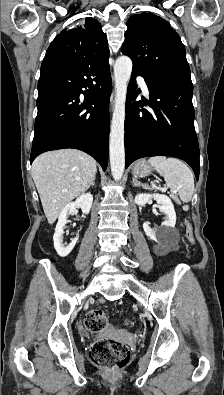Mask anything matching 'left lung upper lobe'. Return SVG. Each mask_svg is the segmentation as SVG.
<instances>
[{
    "label": "left lung upper lobe",
    "instance_id": "left-lung-upper-lobe-1",
    "mask_svg": "<svg viewBox=\"0 0 224 395\" xmlns=\"http://www.w3.org/2000/svg\"><path fill=\"white\" fill-rule=\"evenodd\" d=\"M121 51L132 59L135 70L192 84L184 45L161 17L152 13L131 16Z\"/></svg>",
    "mask_w": 224,
    "mask_h": 395
}]
</instances>
